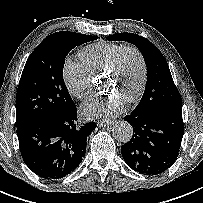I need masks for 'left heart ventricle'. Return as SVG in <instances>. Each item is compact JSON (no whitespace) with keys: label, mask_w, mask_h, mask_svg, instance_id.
Masks as SVG:
<instances>
[{"label":"left heart ventricle","mask_w":203,"mask_h":203,"mask_svg":"<svg viewBox=\"0 0 203 203\" xmlns=\"http://www.w3.org/2000/svg\"><path fill=\"white\" fill-rule=\"evenodd\" d=\"M140 78V61L136 54L130 52L116 72L106 78L103 89L125 101L137 89Z\"/></svg>","instance_id":"left-heart-ventricle-1"}]
</instances>
